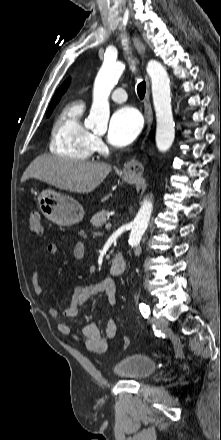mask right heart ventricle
Here are the masks:
<instances>
[{
  "instance_id": "e07e8e85",
  "label": "right heart ventricle",
  "mask_w": 221,
  "mask_h": 440,
  "mask_svg": "<svg viewBox=\"0 0 221 440\" xmlns=\"http://www.w3.org/2000/svg\"><path fill=\"white\" fill-rule=\"evenodd\" d=\"M84 104L75 100L66 104L55 118L50 141L52 153L75 160H87L93 154V134L83 124Z\"/></svg>"
}]
</instances>
